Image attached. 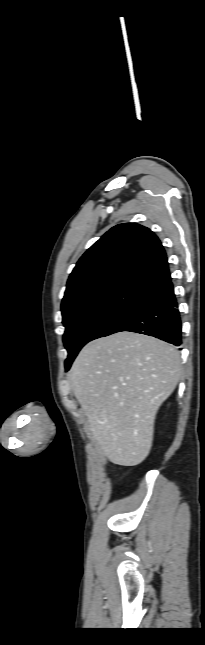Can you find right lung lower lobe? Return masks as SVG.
<instances>
[{
    "instance_id": "98d812e1",
    "label": "right lung lower lobe",
    "mask_w": 205,
    "mask_h": 645,
    "mask_svg": "<svg viewBox=\"0 0 205 645\" xmlns=\"http://www.w3.org/2000/svg\"><path fill=\"white\" fill-rule=\"evenodd\" d=\"M170 273L145 287L140 301L101 337L121 331L154 336L179 346L181 320Z\"/></svg>"
}]
</instances>
